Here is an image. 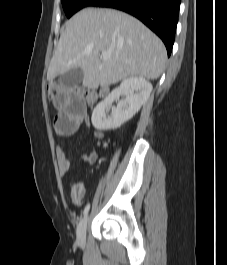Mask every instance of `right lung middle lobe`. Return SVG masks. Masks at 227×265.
Here are the masks:
<instances>
[{"label": "right lung middle lobe", "mask_w": 227, "mask_h": 265, "mask_svg": "<svg viewBox=\"0 0 227 265\" xmlns=\"http://www.w3.org/2000/svg\"><path fill=\"white\" fill-rule=\"evenodd\" d=\"M93 0H61L66 16L69 18L78 10L88 6Z\"/></svg>", "instance_id": "obj_1"}]
</instances>
